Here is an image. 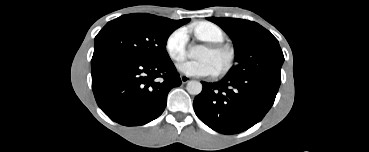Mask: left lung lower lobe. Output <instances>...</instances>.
Returning <instances> with one entry per match:
<instances>
[{
    "instance_id": "obj_1",
    "label": "left lung lower lobe",
    "mask_w": 369,
    "mask_h": 152,
    "mask_svg": "<svg viewBox=\"0 0 369 152\" xmlns=\"http://www.w3.org/2000/svg\"><path fill=\"white\" fill-rule=\"evenodd\" d=\"M281 78L268 75H227L215 83L202 82L194 99L197 117L222 134L245 131L261 121L274 103Z\"/></svg>"
}]
</instances>
